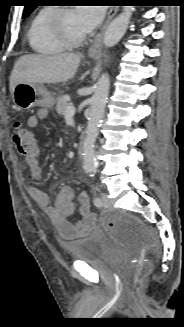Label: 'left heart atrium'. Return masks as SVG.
I'll use <instances>...</instances> for the list:
<instances>
[{
    "label": "left heart atrium",
    "instance_id": "1",
    "mask_svg": "<svg viewBox=\"0 0 184 327\" xmlns=\"http://www.w3.org/2000/svg\"><path fill=\"white\" fill-rule=\"evenodd\" d=\"M83 29L86 33L94 30L102 21L104 12L101 7L86 5L74 9Z\"/></svg>",
    "mask_w": 184,
    "mask_h": 327
}]
</instances>
